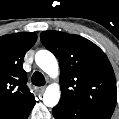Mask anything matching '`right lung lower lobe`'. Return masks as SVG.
<instances>
[{"mask_svg":"<svg viewBox=\"0 0 119 119\" xmlns=\"http://www.w3.org/2000/svg\"><path fill=\"white\" fill-rule=\"evenodd\" d=\"M35 103L36 101L33 97L21 105L2 109L0 111V119H27Z\"/></svg>","mask_w":119,"mask_h":119,"instance_id":"right-lung-lower-lobe-1","label":"right lung lower lobe"}]
</instances>
